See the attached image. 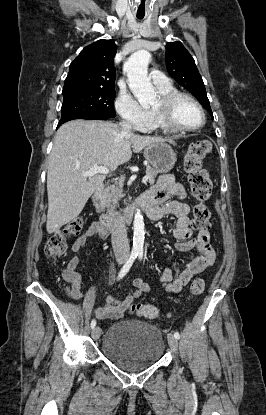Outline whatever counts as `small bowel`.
<instances>
[{"label":"small bowel","mask_w":266,"mask_h":415,"mask_svg":"<svg viewBox=\"0 0 266 415\" xmlns=\"http://www.w3.org/2000/svg\"><path fill=\"white\" fill-rule=\"evenodd\" d=\"M170 197L175 200L168 201ZM186 197L184 186L178 182L174 176H163L157 184L145 192L140 202L147 207V214L153 220H159L167 215L176 218L173 236L177 239L175 248L181 252L196 249L198 256L192 257L183 268L175 265L166 268L160 275V282L168 292L178 293L185 287L190 280L198 273L213 265L215 252L210 244L208 229L199 230L195 238H191L189 212L190 207L183 200ZM106 230L100 223L93 222L87 230L79 236L72 245V251L78 253L93 236L101 239L108 237ZM80 263L78 255H74L68 262L63 272L64 278L72 284L71 295L76 300L84 298L80 290L81 276L76 272ZM134 289L129 291L123 300H116L111 297L105 299L103 306L95 309L94 313L98 319H118L123 316L131 303L143 293L150 291V286L141 277L133 282Z\"/></svg>","instance_id":"small-bowel-1"}]
</instances>
